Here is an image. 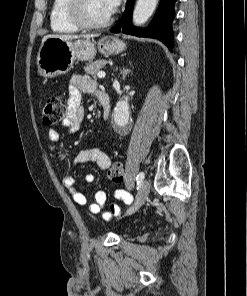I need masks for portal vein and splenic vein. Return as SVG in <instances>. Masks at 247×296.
Listing matches in <instances>:
<instances>
[{
  "mask_svg": "<svg viewBox=\"0 0 247 296\" xmlns=\"http://www.w3.org/2000/svg\"><path fill=\"white\" fill-rule=\"evenodd\" d=\"M106 76V73L104 71H100L97 73L98 78H104Z\"/></svg>",
  "mask_w": 247,
  "mask_h": 296,
  "instance_id": "obj_1",
  "label": "portal vein and splenic vein"
}]
</instances>
